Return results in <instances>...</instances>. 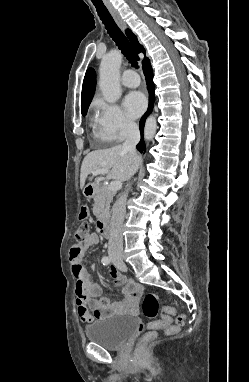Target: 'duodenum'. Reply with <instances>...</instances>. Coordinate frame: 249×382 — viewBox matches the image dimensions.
<instances>
[{
	"mask_svg": "<svg viewBox=\"0 0 249 382\" xmlns=\"http://www.w3.org/2000/svg\"><path fill=\"white\" fill-rule=\"evenodd\" d=\"M94 189V186H93ZM97 228L101 235L105 238H109L111 235L109 223L106 219H99L97 222Z\"/></svg>",
	"mask_w": 249,
	"mask_h": 382,
	"instance_id": "1",
	"label": "duodenum"
}]
</instances>
